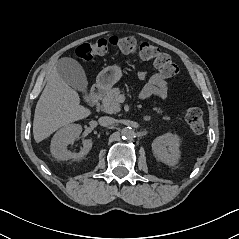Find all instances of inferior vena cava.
Segmentation results:
<instances>
[{"mask_svg": "<svg viewBox=\"0 0 239 239\" xmlns=\"http://www.w3.org/2000/svg\"><path fill=\"white\" fill-rule=\"evenodd\" d=\"M115 123V119L109 116H103L99 118V124L101 126L107 127Z\"/></svg>", "mask_w": 239, "mask_h": 239, "instance_id": "inferior-vena-cava-1", "label": "inferior vena cava"}]
</instances>
